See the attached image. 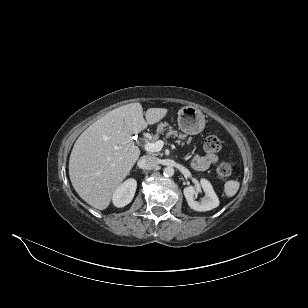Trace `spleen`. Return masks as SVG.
<instances>
[{
    "label": "spleen",
    "instance_id": "obj_1",
    "mask_svg": "<svg viewBox=\"0 0 308 308\" xmlns=\"http://www.w3.org/2000/svg\"><path fill=\"white\" fill-rule=\"evenodd\" d=\"M240 183L237 180H230L224 184V192L227 197H233L239 190Z\"/></svg>",
    "mask_w": 308,
    "mask_h": 308
}]
</instances>
